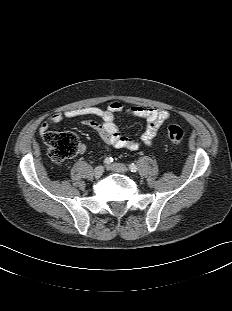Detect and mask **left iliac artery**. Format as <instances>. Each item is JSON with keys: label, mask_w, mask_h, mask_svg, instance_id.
Wrapping results in <instances>:
<instances>
[{"label": "left iliac artery", "mask_w": 232, "mask_h": 311, "mask_svg": "<svg viewBox=\"0 0 232 311\" xmlns=\"http://www.w3.org/2000/svg\"><path fill=\"white\" fill-rule=\"evenodd\" d=\"M129 169L131 172H137L138 170L137 166L133 163L129 165Z\"/></svg>", "instance_id": "obj_1"}]
</instances>
